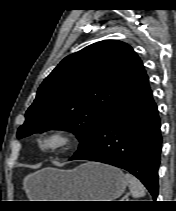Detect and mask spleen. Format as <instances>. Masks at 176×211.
Wrapping results in <instances>:
<instances>
[{"label":"spleen","mask_w":176,"mask_h":211,"mask_svg":"<svg viewBox=\"0 0 176 211\" xmlns=\"http://www.w3.org/2000/svg\"><path fill=\"white\" fill-rule=\"evenodd\" d=\"M125 178L130 184V191L134 198H140L145 196V188L143 184L133 175L126 173Z\"/></svg>","instance_id":"obj_1"}]
</instances>
